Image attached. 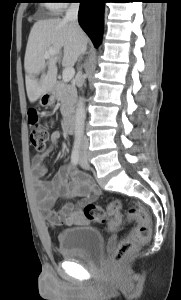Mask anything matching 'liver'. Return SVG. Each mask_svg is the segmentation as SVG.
<instances>
[{
	"instance_id": "liver-1",
	"label": "liver",
	"mask_w": 181,
	"mask_h": 300,
	"mask_svg": "<svg viewBox=\"0 0 181 300\" xmlns=\"http://www.w3.org/2000/svg\"><path fill=\"white\" fill-rule=\"evenodd\" d=\"M87 41L83 30L72 22L46 19L39 20L33 25L24 59L26 91L31 103L54 88L57 77L56 64L62 49V65L65 68L73 67L81 54L82 46L87 45ZM50 49L58 50V54L45 59L44 55ZM46 67L48 69L45 73ZM40 73L41 77L38 79Z\"/></svg>"
}]
</instances>
